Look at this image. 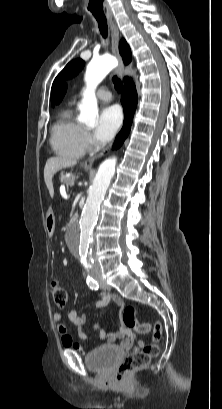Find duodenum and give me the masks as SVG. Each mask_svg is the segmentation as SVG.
<instances>
[{"mask_svg":"<svg viewBox=\"0 0 222 409\" xmlns=\"http://www.w3.org/2000/svg\"><path fill=\"white\" fill-rule=\"evenodd\" d=\"M72 222H77V220H78V215L77 214H74L73 216H72Z\"/></svg>","mask_w":222,"mask_h":409,"instance_id":"obj_1","label":"duodenum"}]
</instances>
